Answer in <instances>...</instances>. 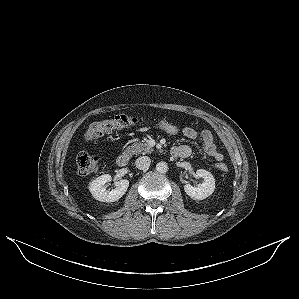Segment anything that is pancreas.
<instances>
[{
    "mask_svg": "<svg viewBox=\"0 0 299 299\" xmlns=\"http://www.w3.org/2000/svg\"><path fill=\"white\" fill-rule=\"evenodd\" d=\"M153 149L147 143H134L126 148L125 152L129 155L149 154Z\"/></svg>",
    "mask_w": 299,
    "mask_h": 299,
    "instance_id": "1",
    "label": "pancreas"
}]
</instances>
